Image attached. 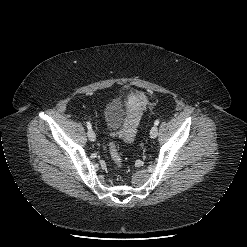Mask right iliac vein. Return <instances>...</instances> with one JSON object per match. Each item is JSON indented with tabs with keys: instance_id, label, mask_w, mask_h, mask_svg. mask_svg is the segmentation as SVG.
Listing matches in <instances>:
<instances>
[{
	"instance_id": "obj_1",
	"label": "right iliac vein",
	"mask_w": 247,
	"mask_h": 247,
	"mask_svg": "<svg viewBox=\"0 0 247 247\" xmlns=\"http://www.w3.org/2000/svg\"><path fill=\"white\" fill-rule=\"evenodd\" d=\"M87 135H88L89 140H91V141H95L96 140V135H95V133H94V131L92 129L88 130Z\"/></svg>"
}]
</instances>
